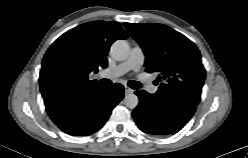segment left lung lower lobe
<instances>
[{"label": "left lung lower lobe", "instance_id": "obj_1", "mask_svg": "<svg viewBox=\"0 0 248 158\" xmlns=\"http://www.w3.org/2000/svg\"><path fill=\"white\" fill-rule=\"evenodd\" d=\"M135 94L140 102L132 115L138 127L148 134H175L186 125L196 110L195 106L164 101L144 90H138Z\"/></svg>", "mask_w": 248, "mask_h": 158}]
</instances>
